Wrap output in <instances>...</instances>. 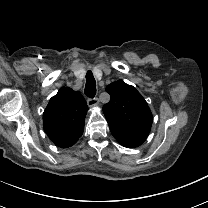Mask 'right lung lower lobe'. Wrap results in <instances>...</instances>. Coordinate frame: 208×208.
Returning a JSON list of instances; mask_svg holds the SVG:
<instances>
[{"mask_svg":"<svg viewBox=\"0 0 208 208\" xmlns=\"http://www.w3.org/2000/svg\"><path fill=\"white\" fill-rule=\"evenodd\" d=\"M74 143H75V142H74ZM74 143H73V144H74ZM73 144H71V145H69V146H67V147H70V146H72ZM64 148H66V147H64Z\"/></svg>","mask_w":208,"mask_h":208,"instance_id":"right-lung-lower-lobe-1","label":"right lung lower lobe"}]
</instances>
